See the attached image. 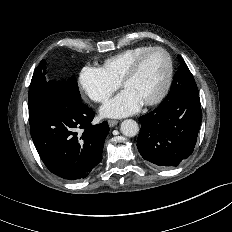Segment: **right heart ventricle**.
Wrapping results in <instances>:
<instances>
[{
	"label": "right heart ventricle",
	"instance_id": "right-heart-ventricle-1",
	"mask_svg": "<svg viewBox=\"0 0 232 232\" xmlns=\"http://www.w3.org/2000/svg\"><path fill=\"white\" fill-rule=\"evenodd\" d=\"M150 47L151 46L148 45H140L119 52L105 59L102 69L113 81L120 83L123 75L135 57Z\"/></svg>",
	"mask_w": 232,
	"mask_h": 232
}]
</instances>
